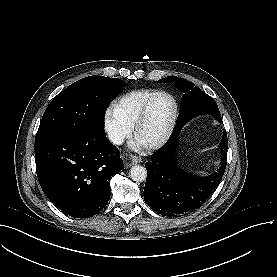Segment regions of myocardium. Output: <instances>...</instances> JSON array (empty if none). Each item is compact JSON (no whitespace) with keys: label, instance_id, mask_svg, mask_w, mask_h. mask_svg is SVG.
I'll return each instance as SVG.
<instances>
[{"label":"myocardium","instance_id":"obj_1","mask_svg":"<svg viewBox=\"0 0 277 277\" xmlns=\"http://www.w3.org/2000/svg\"><path fill=\"white\" fill-rule=\"evenodd\" d=\"M159 95L166 96L173 102L174 108H173V113H172V117L170 120V124L168 126L167 131L163 135V137H161L159 140H157L155 142L145 143L139 139L138 131H139L141 123L143 122V120L146 116V113H147V110L149 108L151 101L154 99V97L159 96ZM177 116H178V104H177L175 98L171 94H169L168 92H165V91H156V92L152 93L150 95V97L147 99L143 109L141 110V113L139 114L138 118L135 121L134 128H133L134 142L139 144L145 150H153V149H157V148L161 147L170 138V136L173 132V129L175 127Z\"/></svg>","mask_w":277,"mask_h":277}]
</instances>
